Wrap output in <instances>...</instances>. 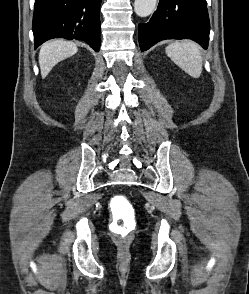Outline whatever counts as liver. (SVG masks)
I'll list each match as a JSON object with an SVG mask.
<instances>
[{
    "mask_svg": "<svg viewBox=\"0 0 249 294\" xmlns=\"http://www.w3.org/2000/svg\"><path fill=\"white\" fill-rule=\"evenodd\" d=\"M77 51L76 44L70 41L56 39L44 43L39 52L42 78H45L57 63L73 56Z\"/></svg>",
    "mask_w": 249,
    "mask_h": 294,
    "instance_id": "1",
    "label": "liver"
}]
</instances>
